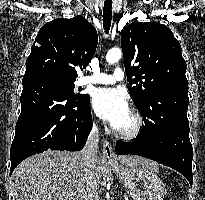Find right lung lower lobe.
<instances>
[{
    "label": "right lung lower lobe",
    "mask_w": 205,
    "mask_h": 200,
    "mask_svg": "<svg viewBox=\"0 0 205 200\" xmlns=\"http://www.w3.org/2000/svg\"><path fill=\"white\" fill-rule=\"evenodd\" d=\"M22 84L10 175L21 161L36 153L81 150L92 127L89 97H73L59 83L40 77L23 79Z\"/></svg>",
    "instance_id": "right-lung-lower-lobe-1"
}]
</instances>
